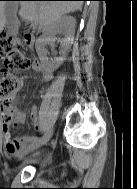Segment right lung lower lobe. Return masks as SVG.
Returning a JSON list of instances; mask_svg holds the SVG:
<instances>
[{
	"label": "right lung lower lobe",
	"instance_id": "1",
	"mask_svg": "<svg viewBox=\"0 0 137 189\" xmlns=\"http://www.w3.org/2000/svg\"><path fill=\"white\" fill-rule=\"evenodd\" d=\"M77 1H85V0H77Z\"/></svg>",
	"mask_w": 137,
	"mask_h": 189
}]
</instances>
